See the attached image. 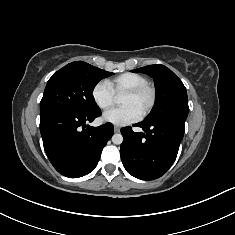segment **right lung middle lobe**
<instances>
[{
	"label": "right lung middle lobe",
	"instance_id": "1",
	"mask_svg": "<svg viewBox=\"0 0 235 235\" xmlns=\"http://www.w3.org/2000/svg\"><path fill=\"white\" fill-rule=\"evenodd\" d=\"M113 74L82 61L67 64L47 82L40 112L56 109L86 114L98 110L92 92L101 79Z\"/></svg>",
	"mask_w": 235,
	"mask_h": 235
}]
</instances>
